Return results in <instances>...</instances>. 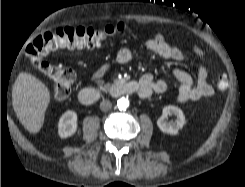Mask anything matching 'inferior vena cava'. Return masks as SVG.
I'll list each match as a JSON object with an SVG mask.
<instances>
[{
    "label": "inferior vena cava",
    "instance_id": "602c4592",
    "mask_svg": "<svg viewBox=\"0 0 245 187\" xmlns=\"http://www.w3.org/2000/svg\"><path fill=\"white\" fill-rule=\"evenodd\" d=\"M112 107V103L108 100H103L101 103H100V109L102 111H108L110 110Z\"/></svg>",
    "mask_w": 245,
    "mask_h": 187
}]
</instances>
